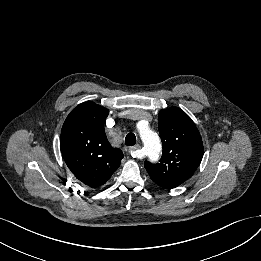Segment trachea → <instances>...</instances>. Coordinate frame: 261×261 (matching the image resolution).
Returning a JSON list of instances; mask_svg holds the SVG:
<instances>
[{"instance_id": "obj_1", "label": "trachea", "mask_w": 261, "mask_h": 261, "mask_svg": "<svg viewBox=\"0 0 261 261\" xmlns=\"http://www.w3.org/2000/svg\"><path fill=\"white\" fill-rule=\"evenodd\" d=\"M125 144L127 146H134L136 144V136L133 133H128L125 137Z\"/></svg>"}]
</instances>
